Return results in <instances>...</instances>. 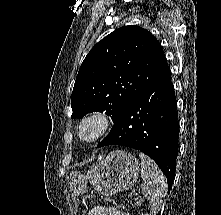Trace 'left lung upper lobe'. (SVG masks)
<instances>
[{
    "label": "left lung upper lobe",
    "mask_w": 221,
    "mask_h": 215,
    "mask_svg": "<svg viewBox=\"0 0 221 215\" xmlns=\"http://www.w3.org/2000/svg\"><path fill=\"white\" fill-rule=\"evenodd\" d=\"M168 66L147 30L123 26L100 40L82 62L72 92V118L103 112L115 123L130 103Z\"/></svg>",
    "instance_id": "1"
}]
</instances>
